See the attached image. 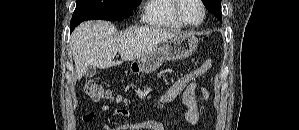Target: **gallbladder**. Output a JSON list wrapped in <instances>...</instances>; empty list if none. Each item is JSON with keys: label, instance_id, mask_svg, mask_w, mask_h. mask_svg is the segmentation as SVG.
<instances>
[{"label": "gallbladder", "instance_id": "bac80fb5", "mask_svg": "<svg viewBox=\"0 0 299 130\" xmlns=\"http://www.w3.org/2000/svg\"><path fill=\"white\" fill-rule=\"evenodd\" d=\"M96 73V68L94 66H87L84 72L86 77H93Z\"/></svg>", "mask_w": 299, "mask_h": 130}]
</instances>
